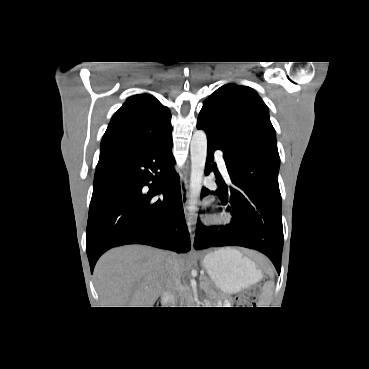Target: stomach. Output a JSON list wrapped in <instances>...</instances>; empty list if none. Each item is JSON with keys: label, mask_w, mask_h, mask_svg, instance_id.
<instances>
[{"label": "stomach", "mask_w": 369, "mask_h": 369, "mask_svg": "<svg viewBox=\"0 0 369 369\" xmlns=\"http://www.w3.org/2000/svg\"><path fill=\"white\" fill-rule=\"evenodd\" d=\"M202 263L217 287L234 294L262 278L256 264L231 248L219 249L204 256Z\"/></svg>", "instance_id": "stomach-1"}]
</instances>
